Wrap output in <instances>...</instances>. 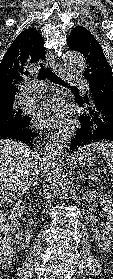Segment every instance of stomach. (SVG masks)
<instances>
[{"mask_svg":"<svg viewBox=\"0 0 113 279\" xmlns=\"http://www.w3.org/2000/svg\"><path fill=\"white\" fill-rule=\"evenodd\" d=\"M74 163L80 167L93 166L97 160V151L88 147L80 148L74 154Z\"/></svg>","mask_w":113,"mask_h":279,"instance_id":"obj_1","label":"stomach"}]
</instances>
